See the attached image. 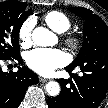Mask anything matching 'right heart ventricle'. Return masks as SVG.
<instances>
[{
  "label": "right heart ventricle",
  "instance_id": "obj_1",
  "mask_svg": "<svg viewBox=\"0 0 108 108\" xmlns=\"http://www.w3.org/2000/svg\"><path fill=\"white\" fill-rule=\"evenodd\" d=\"M46 24L57 33L66 32L70 26L71 21L67 15L60 11H50L44 16Z\"/></svg>",
  "mask_w": 108,
  "mask_h": 108
}]
</instances>
